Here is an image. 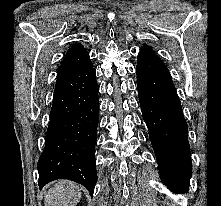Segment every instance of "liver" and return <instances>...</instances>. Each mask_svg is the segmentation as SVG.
Segmentation results:
<instances>
[{
  "mask_svg": "<svg viewBox=\"0 0 221 206\" xmlns=\"http://www.w3.org/2000/svg\"><path fill=\"white\" fill-rule=\"evenodd\" d=\"M81 188L72 181H58L45 196V206H76L81 199Z\"/></svg>",
  "mask_w": 221,
  "mask_h": 206,
  "instance_id": "liver-1",
  "label": "liver"
}]
</instances>
